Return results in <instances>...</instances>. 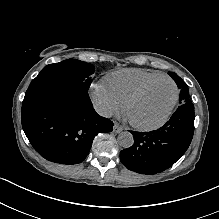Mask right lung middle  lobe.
I'll use <instances>...</instances> for the list:
<instances>
[{
	"label": "right lung middle lobe",
	"instance_id": "dd1d6c3e",
	"mask_svg": "<svg viewBox=\"0 0 219 219\" xmlns=\"http://www.w3.org/2000/svg\"><path fill=\"white\" fill-rule=\"evenodd\" d=\"M93 65L76 59H67L45 66L34 80L43 78L62 79L78 83L83 89H89L90 76L94 73Z\"/></svg>",
	"mask_w": 219,
	"mask_h": 219
}]
</instances>
